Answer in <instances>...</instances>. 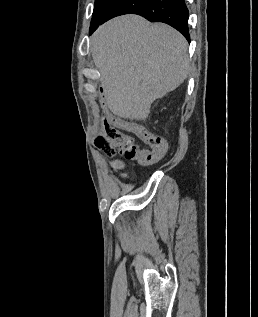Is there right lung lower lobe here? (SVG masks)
<instances>
[{
  "instance_id": "right-lung-lower-lobe-1",
  "label": "right lung lower lobe",
  "mask_w": 258,
  "mask_h": 317,
  "mask_svg": "<svg viewBox=\"0 0 258 317\" xmlns=\"http://www.w3.org/2000/svg\"><path fill=\"white\" fill-rule=\"evenodd\" d=\"M138 14L151 22H163L190 41L189 12L184 0H95L89 34L105 21L123 14Z\"/></svg>"
}]
</instances>
